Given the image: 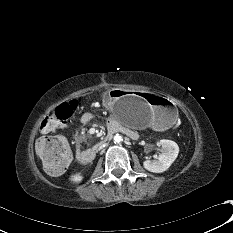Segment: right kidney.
Masks as SVG:
<instances>
[{"label": "right kidney", "mask_w": 233, "mask_h": 233, "mask_svg": "<svg viewBox=\"0 0 233 233\" xmlns=\"http://www.w3.org/2000/svg\"><path fill=\"white\" fill-rule=\"evenodd\" d=\"M70 179L72 182L79 183L82 181L83 176L80 174H75V175H72Z\"/></svg>", "instance_id": "1"}]
</instances>
